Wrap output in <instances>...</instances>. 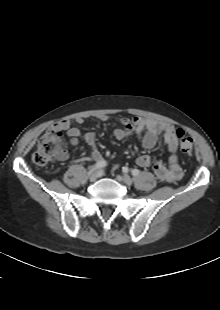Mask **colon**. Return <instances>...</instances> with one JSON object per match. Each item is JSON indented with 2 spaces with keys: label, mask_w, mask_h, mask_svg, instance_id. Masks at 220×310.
Returning a JSON list of instances; mask_svg holds the SVG:
<instances>
[{
  "label": "colon",
  "mask_w": 220,
  "mask_h": 310,
  "mask_svg": "<svg viewBox=\"0 0 220 310\" xmlns=\"http://www.w3.org/2000/svg\"><path fill=\"white\" fill-rule=\"evenodd\" d=\"M176 135L179 141L180 150L184 154H191L194 149L192 139L186 136L182 130H178ZM64 152L65 149L62 132L58 130H50L40 138L32 159L35 164L44 166L58 159L64 154Z\"/></svg>",
  "instance_id": "colon-1"
}]
</instances>
